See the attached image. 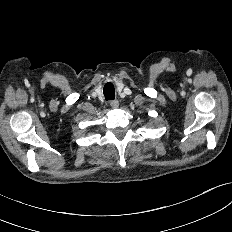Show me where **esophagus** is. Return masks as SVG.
<instances>
[{"label":"esophagus","mask_w":232,"mask_h":232,"mask_svg":"<svg viewBox=\"0 0 232 232\" xmlns=\"http://www.w3.org/2000/svg\"><path fill=\"white\" fill-rule=\"evenodd\" d=\"M110 106L112 108H118L119 107V101L118 100H111L110 101Z\"/></svg>","instance_id":"1"}]
</instances>
